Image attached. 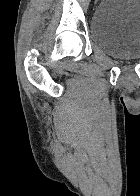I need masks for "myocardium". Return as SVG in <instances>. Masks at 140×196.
Here are the masks:
<instances>
[{"label":"myocardium","mask_w":140,"mask_h":196,"mask_svg":"<svg viewBox=\"0 0 140 196\" xmlns=\"http://www.w3.org/2000/svg\"><path fill=\"white\" fill-rule=\"evenodd\" d=\"M85 192H123V191H85Z\"/></svg>","instance_id":"obj_1"}]
</instances>
